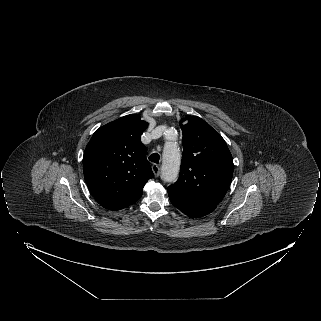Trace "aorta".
I'll return each instance as SVG.
<instances>
[{
	"label": "aorta",
	"instance_id": "762f6f07",
	"mask_svg": "<svg viewBox=\"0 0 321 321\" xmlns=\"http://www.w3.org/2000/svg\"><path fill=\"white\" fill-rule=\"evenodd\" d=\"M176 136L174 129H168L165 133L168 142L163 149L161 177L168 183L175 182L180 170L181 154L178 145L173 141Z\"/></svg>",
	"mask_w": 321,
	"mask_h": 321
}]
</instances>
